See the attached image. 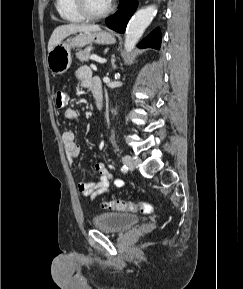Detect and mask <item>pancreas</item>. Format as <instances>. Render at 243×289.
Listing matches in <instances>:
<instances>
[{
    "instance_id": "obj_1",
    "label": "pancreas",
    "mask_w": 243,
    "mask_h": 289,
    "mask_svg": "<svg viewBox=\"0 0 243 289\" xmlns=\"http://www.w3.org/2000/svg\"><path fill=\"white\" fill-rule=\"evenodd\" d=\"M93 50L92 46H89L81 51L76 52V57L83 62H87L90 57V52Z\"/></svg>"
}]
</instances>
